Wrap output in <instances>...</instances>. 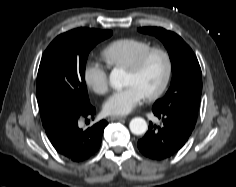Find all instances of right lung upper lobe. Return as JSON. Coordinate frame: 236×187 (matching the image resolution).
I'll return each mask as SVG.
<instances>
[{
	"instance_id": "1",
	"label": "right lung upper lobe",
	"mask_w": 236,
	"mask_h": 187,
	"mask_svg": "<svg viewBox=\"0 0 236 187\" xmlns=\"http://www.w3.org/2000/svg\"><path fill=\"white\" fill-rule=\"evenodd\" d=\"M81 29H86V28H78L76 30H81ZM50 134H51V132L47 133V135H50Z\"/></svg>"
}]
</instances>
